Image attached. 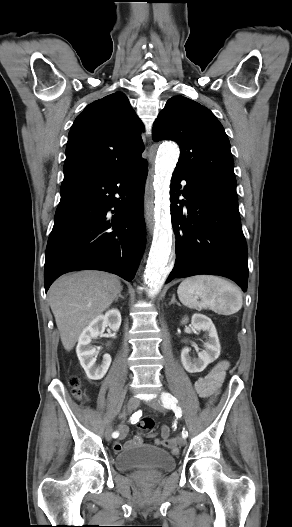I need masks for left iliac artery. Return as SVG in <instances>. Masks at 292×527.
Wrapping results in <instances>:
<instances>
[{"mask_svg":"<svg viewBox=\"0 0 292 527\" xmlns=\"http://www.w3.org/2000/svg\"><path fill=\"white\" fill-rule=\"evenodd\" d=\"M161 401L163 403V406L167 409H172L173 412L175 413V416L177 417H181L182 416V410L181 408L178 406V400L177 398H175L174 396H172L170 393L168 392H163L161 394ZM188 436V432L183 429L182 431V437L183 438H186Z\"/></svg>","mask_w":292,"mask_h":527,"instance_id":"left-iliac-artery-1","label":"left iliac artery"}]
</instances>
